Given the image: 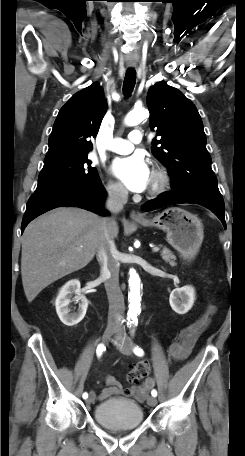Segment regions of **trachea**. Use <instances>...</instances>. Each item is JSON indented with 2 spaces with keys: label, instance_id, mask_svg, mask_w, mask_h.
Masks as SVG:
<instances>
[{
  "label": "trachea",
  "instance_id": "3493384b",
  "mask_svg": "<svg viewBox=\"0 0 245 456\" xmlns=\"http://www.w3.org/2000/svg\"><path fill=\"white\" fill-rule=\"evenodd\" d=\"M136 82V71L133 68H129L126 71L125 79L123 82V93L126 97H129L133 92Z\"/></svg>",
  "mask_w": 245,
  "mask_h": 456
}]
</instances>
